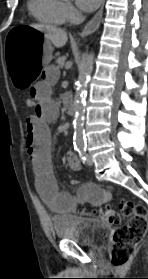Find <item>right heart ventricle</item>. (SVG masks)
Returning <instances> with one entry per match:
<instances>
[{
  "instance_id": "1",
  "label": "right heart ventricle",
  "mask_w": 148,
  "mask_h": 279,
  "mask_svg": "<svg viewBox=\"0 0 148 279\" xmlns=\"http://www.w3.org/2000/svg\"><path fill=\"white\" fill-rule=\"evenodd\" d=\"M28 9L40 23L58 26L66 22L61 0H28Z\"/></svg>"
}]
</instances>
